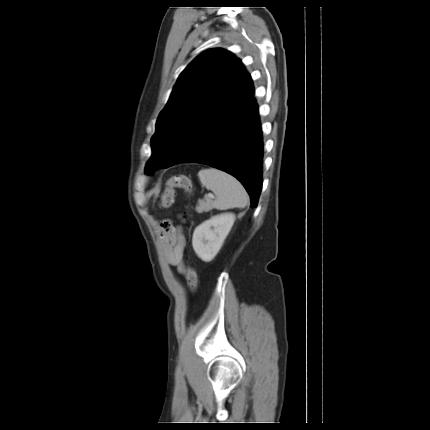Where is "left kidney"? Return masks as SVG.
<instances>
[{
  "mask_svg": "<svg viewBox=\"0 0 430 430\" xmlns=\"http://www.w3.org/2000/svg\"><path fill=\"white\" fill-rule=\"evenodd\" d=\"M235 222L233 213L225 212L212 216L194 230L192 246L197 256L210 262L220 251L224 240Z\"/></svg>",
  "mask_w": 430,
  "mask_h": 430,
  "instance_id": "1",
  "label": "left kidney"
}]
</instances>
